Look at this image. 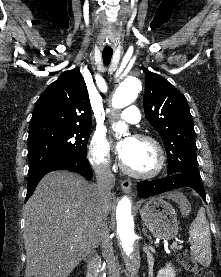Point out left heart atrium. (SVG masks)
Masks as SVG:
<instances>
[{
	"label": "left heart atrium",
	"mask_w": 221,
	"mask_h": 277,
	"mask_svg": "<svg viewBox=\"0 0 221 277\" xmlns=\"http://www.w3.org/2000/svg\"><path fill=\"white\" fill-rule=\"evenodd\" d=\"M126 150H127V145L125 143L118 144L117 151H118L121 158L124 157V155L126 153Z\"/></svg>",
	"instance_id": "obj_1"
}]
</instances>
